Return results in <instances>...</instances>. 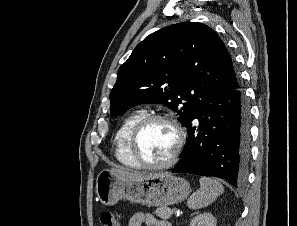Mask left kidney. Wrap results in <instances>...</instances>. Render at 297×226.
Masks as SVG:
<instances>
[{
    "label": "left kidney",
    "mask_w": 297,
    "mask_h": 226,
    "mask_svg": "<svg viewBox=\"0 0 297 226\" xmlns=\"http://www.w3.org/2000/svg\"><path fill=\"white\" fill-rule=\"evenodd\" d=\"M216 218L211 213H202L194 217L190 226H217Z\"/></svg>",
    "instance_id": "obj_1"
}]
</instances>
